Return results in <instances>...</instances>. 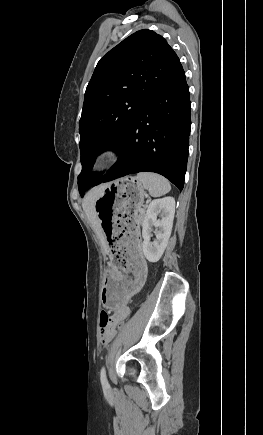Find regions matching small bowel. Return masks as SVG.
Listing matches in <instances>:
<instances>
[{
	"mask_svg": "<svg viewBox=\"0 0 263 435\" xmlns=\"http://www.w3.org/2000/svg\"><path fill=\"white\" fill-rule=\"evenodd\" d=\"M140 260L143 258L140 255ZM130 314V309L128 305H121L120 310H114L113 321H107L105 323V328L111 335H114L117 332L116 324L120 323V321H124Z\"/></svg>",
	"mask_w": 263,
	"mask_h": 435,
	"instance_id": "small-bowel-1",
	"label": "small bowel"
}]
</instances>
